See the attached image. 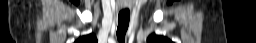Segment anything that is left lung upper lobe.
<instances>
[{"label": "left lung upper lobe", "mask_w": 256, "mask_h": 43, "mask_svg": "<svg viewBox=\"0 0 256 43\" xmlns=\"http://www.w3.org/2000/svg\"><path fill=\"white\" fill-rule=\"evenodd\" d=\"M147 43H172V42L163 36H157L155 34H152L148 37Z\"/></svg>", "instance_id": "obj_1"}]
</instances>
